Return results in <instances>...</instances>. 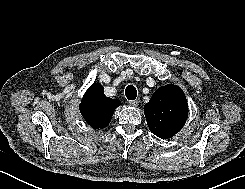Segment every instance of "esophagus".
Here are the masks:
<instances>
[{
	"mask_svg": "<svg viewBox=\"0 0 245 189\" xmlns=\"http://www.w3.org/2000/svg\"><path fill=\"white\" fill-rule=\"evenodd\" d=\"M139 103H140V99H135V100H130V101H129V104H130L131 106H134V107L138 106Z\"/></svg>",
	"mask_w": 245,
	"mask_h": 189,
	"instance_id": "34e87169",
	"label": "esophagus"
}]
</instances>
